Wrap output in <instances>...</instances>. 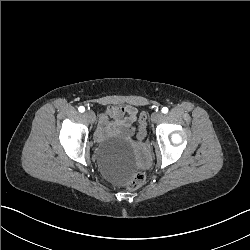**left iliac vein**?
Wrapping results in <instances>:
<instances>
[{"label": "left iliac vein", "instance_id": "obj_1", "mask_svg": "<svg viewBox=\"0 0 250 250\" xmlns=\"http://www.w3.org/2000/svg\"><path fill=\"white\" fill-rule=\"evenodd\" d=\"M164 118V115L161 112H156L152 115L151 120L152 122H161Z\"/></svg>", "mask_w": 250, "mask_h": 250}]
</instances>
